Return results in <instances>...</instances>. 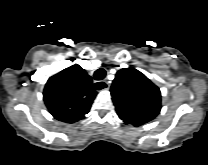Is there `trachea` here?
I'll return each instance as SVG.
<instances>
[{
    "label": "trachea",
    "mask_w": 208,
    "mask_h": 165,
    "mask_svg": "<svg viewBox=\"0 0 208 165\" xmlns=\"http://www.w3.org/2000/svg\"><path fill=\"white\" fill-rule=\"evenodd\" d=\"M105 76H106V71L102 68L96 70L95 73H94V79L95 80H102V79L105 78ZM95 87H96L97 90H101V89L104 88L102 85H99V84H96Z\"/></svg>",
    "instance_id": "trachea-1"
}]
</instances>
